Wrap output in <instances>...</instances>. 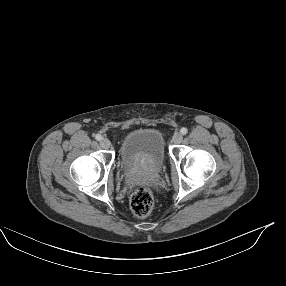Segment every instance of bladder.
I'll return each instance as SVG.
<instances>
[{"mask_svg": "<svg viewBox=\"0 0 286 286\" xmlns=\"http://www.w3.org/2000/svg\"><path fill=\"white\" fill-rule=\"evenodd\" d=\"M166 155L164 136L154 128L129 132L119 150L120 163L128 169L157 171L164 165Z\"/></svg>", "mask_w": 286, "mask_h": 286, "instance_id": "1", "label": "bladder"}]
</instances>
